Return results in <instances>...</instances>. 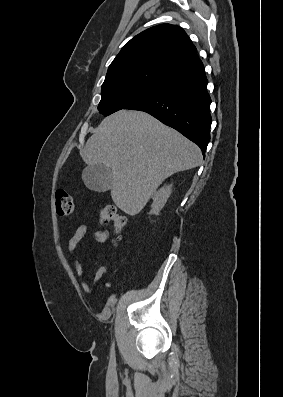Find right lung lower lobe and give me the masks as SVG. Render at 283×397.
Listing matches in <instances>:
<instances>
[{
	"mask_svg": "<svg viewBox=\"0 0 283 397\" xmlns=\"http://www.w3.org/2000/svg\"><path fill=\"white\" fill-rule=\"evenodd\" d=\"M207 83L202 68L169 81L124 109L149 113L196 143L205 156L212 123Z\"/></svg>",
	"mask_w": 283,
	"mask_h": 397,
	"instance_id": "obj_1",
	"label": "right lung lower lobe"
}]
</instances>
